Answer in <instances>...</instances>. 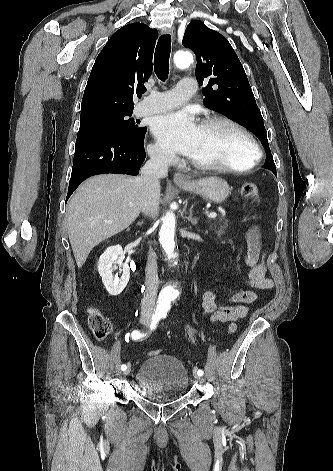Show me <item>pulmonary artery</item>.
Listing matches in <instances>:
<instances>
[{
    "label": "pulmonary artery",
    "mask_w": 333,
    "mask_h": 471,
    "mask_svg": "<svg viewBox=\"0 0 333 471\" xmlns=\"http://www.w3.org/2000/svg\"><path fill=\"white\" fill-rule=\"evenodd\" d=\"M194 92L195 81L191 78H183L172 90L151 93L140 103L137 112L139 115H149L167 111L181 105Z\"/></svg>",
    "instance_id": "obj_1"
}]
</instances>
